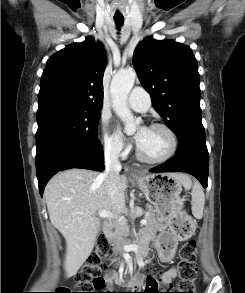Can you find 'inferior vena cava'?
<instances>
[{
  "label": "inferior vena cava",
  "instance_id": "602c4592",
  "mask_svg": "<svg viewBox=\"0 0 245 293\" xmlns=\"http://www.w3.org/2000/svg\"><path fill=\"white\" fill-rule=\"evenodd\" d=\"M105 171L102 174L108 194L111 198H115L119 193V178L121 164L119 161V150L113 146L105 147Z\"/></svg>",
  "mask_w": 245,
  "mask_h": 293
}]
</instances>
